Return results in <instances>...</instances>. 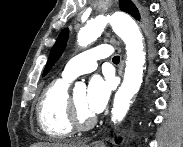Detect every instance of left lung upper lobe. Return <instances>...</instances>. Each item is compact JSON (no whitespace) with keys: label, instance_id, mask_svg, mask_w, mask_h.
Masks as SVG:
<instances>
[{"label":"left lung upper lobe","instance_id":"1","mask_svg":"<svg viewBox=\"0 0 183 147\" xmlns=\"http://www.w3.org/2000/svg\"><path fill=\"white\" fill-rule=\"evenodd\" d=\"M119 2H120V8L122 11L129 13L130 15H132L134 18L138 20L140 19L138 9L135 7V5L132 3L131 0H119ZM68 34L69 32H68V29L66 28L58 36L56 43L51 49L48 62L43 72V76L47 74V72L51 69L54 63L61 56L67 43Z\"/></svg>","mask_w":183,"mask_h":147}]
</instances>
